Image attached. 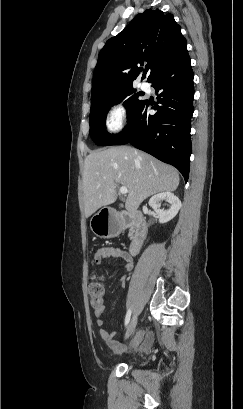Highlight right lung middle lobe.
<instances>
[{"label": "right lung middle lobe", "mask_w": 243, "mask_h": 409, "mask_svg": "<svg viewBox=\"0 0 243 409\" xmlns=\"http://www.w3.org/2000/svg\"><path fill=\"white\" fill-rule=\"evenodd\" d=\"M135 89L128 87L110 94L106 97L91 102V111L89 117L90 136L95 144L107 146L116 137L106 131L105 119L110 107L114 104L124 101L127 109V119H131L143 100L139 99V94H133Z\"/></svg>", "instance_id": "dd1d6c3e"}]
</instances>
